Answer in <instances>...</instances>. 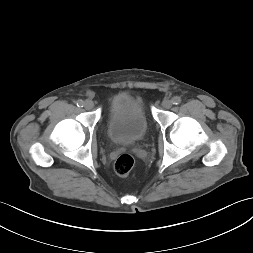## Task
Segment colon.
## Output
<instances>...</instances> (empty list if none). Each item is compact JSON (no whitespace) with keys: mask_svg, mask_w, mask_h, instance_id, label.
<instances>
[{"mask_svg":"<svg viewBox=\"0 0 253 253\" xmlns=\"http://www.w3.org/2000/svg\"><path fill=\"white\" fill-rule=\"evenodd\" d=\"M134 164L135 161L131 155L122 154L115 161L114 170L118 176L127 177L131 173Z\"/></svg>","mask_w":253,"mask_h":253,"instance_id":"colon-1","label":"colon"}]
</instances>
